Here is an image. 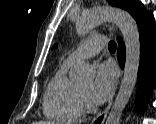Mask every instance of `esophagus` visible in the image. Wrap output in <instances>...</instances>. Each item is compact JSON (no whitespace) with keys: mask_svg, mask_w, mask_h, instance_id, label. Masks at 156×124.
Here are the masks:
<instances>
[{"mask_svg":"<svg viewBox=\"0 0 156 124\" xmlns=\"http://www.w3.org/2000/svg\"><path fill=\"white\" fill-rule=\"evenodd\" d=\"M112 30L113 32H115V28L112 27ZM111 105H112V101L109 102V104L107 105V107L105 108L104 111H102L101 113H99L91 122V124H103L106 117H107V114L111 108Z\"/></svg>","mask_w":156,"mask_h":124,"instance_id":"obj_1","label":"esophagus"}]
</instances>
